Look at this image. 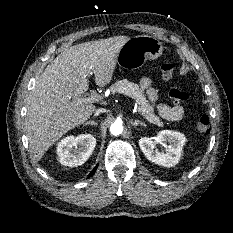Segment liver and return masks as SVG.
<instances>
[{"mask_svg": "<svg viewBox=\"0 0 233 233\" xmlns=\"http://www.w3.org/2000/svg\"><path fill=\"white\" fill-rule=\"evenodd\" d=\"M128 39L116 36L71 46L45 68L29 96L25 121L36 161L69 130L90 118L96 106L77 103L89 89L87 77L92 72L97 85L109 84L118 53Z\"/></svg>", "mask_w": 233, "mask_h": 233, "instance_id": "6515ba94", "label": "liver"}]
</instances>
